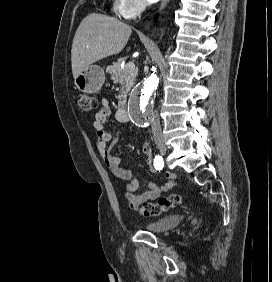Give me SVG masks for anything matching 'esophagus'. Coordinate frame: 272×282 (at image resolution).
I'll use <instances>...</instances> for the list:
<instances>
[{
  "label": "esophagus",
  "instance_id": "esophagus-1",
  "mask_svg": "<svg viewBox=\"0 0 272 282\" xmlns=\"http://www.w3.org/2000/svg\"><path fill=\"white\" fill-rule=\"evenodd\" d=\"M168 2H169V0H162L161 1L160 6H159V12H161L166 7ZM147 27H149V25Z\"/></svg>",
  "mask_w": 272,
  "mask_h": 282
}]
</instances>
